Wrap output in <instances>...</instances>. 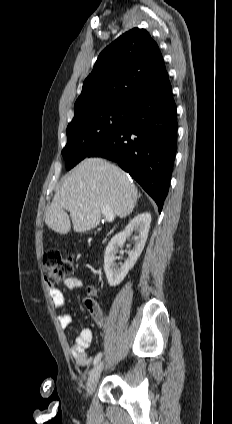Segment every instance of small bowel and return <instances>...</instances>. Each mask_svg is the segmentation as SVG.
Here are the masks:
<instances>
[{
    "label": "small bowel",
    "mask_w": 232,
    "mask_h": 424,
    "mask_svg": "<svg viewBox=\"0 0 232 424\" xmlns=\"http://www.w3.org/2000/svg\"><path fill=\"white\" fill-rule=\"evenodd\" d=\"M64 285L69 290H76L86 287L87 293L90 296L96 294V288L93 285L86 284L80 277H69L64 281ZM49 296L52 299L54 306L60 311L58 315L59 324L61 327L66 328L72 322V317L69 313L65 312V298L63 292L56 287H51L48 290ZM86 308L94 319L95 323L103 327L105 325V318L101 307L92 299L85 302ZM93 340L92 331L89 328H83L76 337L74 344L70 347V352L78 365L86 366L91 362V357L87 350Z\"/></svg>",
    "instance_id": "small-bowel-1"
}]
</instances>
